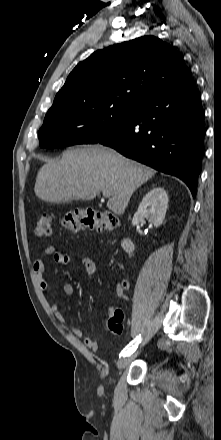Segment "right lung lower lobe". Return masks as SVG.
Listing matches in <instances>:
<instances>
[{"label": "right lung lower lobe", "mask_w": 221, "mask_h": 440, "mask_svg": "<svg viewBox=\"0 0 221 440\" xmlns=\"http://www.w3.org/2000/svg\"><path fill=\"white\" fill-rule=\"evenodd\" d=\"M204 133L200 93L191 81L138 104L120 128L98 143L180 178L195 197Z\"/></svg>", "instance_id": "98d812e1"}]
</instances>
